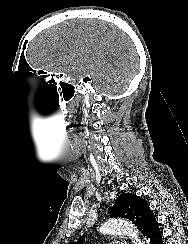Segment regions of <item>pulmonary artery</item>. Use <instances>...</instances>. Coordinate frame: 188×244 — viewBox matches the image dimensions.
Listing matches in <instances>:
<instances>
[{"label": "pulmonary artery", "instance_id": "obj_1", "mask_svg": "<svg viewBox=\"0 0 188 244\" xmlns=\"http://www.w3.org/2000/svg\"><path fill=\"white\" fill-rule=\"evenodd\" d=\"M111 244H127L126 242H113Z\"/></svg>", "mask_w": 188, "mask_h": 244}]
</instances>
